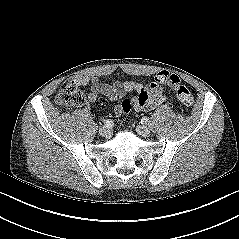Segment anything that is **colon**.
Returning a JSON list of instances; mask_svg holds the SVG:
<instances>
[{
	"label": "colon",
	"instance_id": "colon-1",
	"mask_svg": "<svg viewBox=\"0 0 239 239\" xmlns=\"http://www.w3.org/2000/svg\"><path fill=\"white\" fill-rule=\"evenodd\" d=\"M154 79L157 83L169 84L173 88L177 99L183 105L191 106L193 104V95L176 74L160 71L155 75ZM55 100L60 106H81L86 102V95L79 83L74 79H67L61 84ZM130 109L131 100L125 98L120 104V112L126 114Z\"/></svg>",
	"mask_w": 239,
	"mask_h": 239
}]
</instances>
